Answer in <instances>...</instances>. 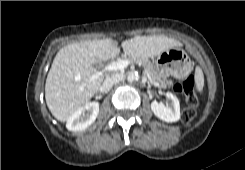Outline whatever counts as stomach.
<instances>
[{
  "mask_svg": "<svg viewBox=\"0 0 245 170\" xmlns=\"http://www.w3.org/2000/svg\"><path fill=\"white\" fill-rule=\"evenodd\" d=\"M155 65L162 76L169 77L188 71L191 62L183 49L174 47L157 55Z\"/></svg>",
  "mask_w": 245,
  "mask_h": 170,
  "instance_id": "stomach-1",
  "label": "stomach"
}]
</instances>
